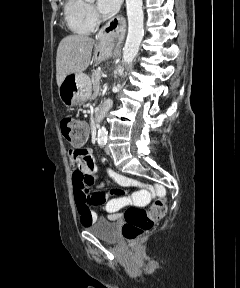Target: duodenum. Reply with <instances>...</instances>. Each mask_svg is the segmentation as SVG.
<instances>
[{"instance_id": "obj_1", "label": "duodenum", "mask_w": 240, "mask_h": 288, "mask_svg": "<svg viewBox=\"0 0 240 288\" xmlns=\"http://www.w3.org/2000/svg\"><path fill=\"white\" fill-rule=\"evenodd\" d=\"M111 107V101L107 100L103 103V105L101 107H99L94 114V123L98 124L103 117L105 116V114L108 112V110Z\"/></svg>"}]
</instances>
